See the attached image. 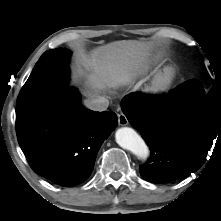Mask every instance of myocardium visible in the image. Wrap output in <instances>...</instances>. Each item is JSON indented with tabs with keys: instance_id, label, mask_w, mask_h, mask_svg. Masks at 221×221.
<instances>
[{
	"instance_id": "f54148a6",
	"label": "myocardium",
	"mask_w": 221,
	"mask_h": 221,
	"mask_svg": "<svg viewBox=\"0 0 221 221\" xmlns=\"http://www.w3.org/2000/svg\"><path fill=\"white\" fill-rule=\"evenodd\" d=\"M175 75L174 67H166L152 82L149 88L150 93L157 95L166 92L170 88Z\"/></svg>"
}]
</instances>
